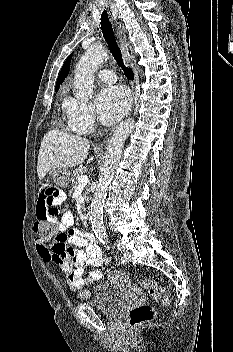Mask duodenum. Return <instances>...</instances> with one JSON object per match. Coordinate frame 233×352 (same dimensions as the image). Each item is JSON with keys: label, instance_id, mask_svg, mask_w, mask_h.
I'll return each instance as SVG.
<instances>
[{"label": "duodenum", "instance_id": "1", "mask_svg": "<svg viewBox=\"0 0 233 352\" xmlns=\"http://www.w3.org/2000/svg\"><path fill=\"white\" fill-rule=\"evenodd\" d=\"M84 217L87 221H90L91 220V210L90 208H85L84 209Z\"/></svg>", "mask_w": 233, "mask_h": 352}]
</instances>
